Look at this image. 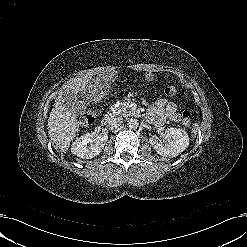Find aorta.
Returning a JSON list of instances; mask_svg holds the SVG:
<instances>
[{"label":"aorta","mask_w":247,"mask_h":247,"mask_svg":"<svg viewBox=\"0 0 247 247\" xmlns=\"http://www.w3.org/2000/svg\"><path fill=\"white\" fill-rule=\"evenodd\" d=\"M127 126L130 129H137L139 126V122L136 118H131V119H128Z\"/></svg>","instance_id":"762f6f07"}]
</instances>
